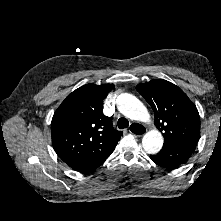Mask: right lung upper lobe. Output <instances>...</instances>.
Returning a JSON list of instances; mask_svg holds the SVG:
<instances>
[{
  "label": "right lung upper lobe",
  "instance_id": "cb5924a9",
  "mask_svg": "<svg viewBox=\"0 0 221 221\" xmlns=\"http://www.w3.org/2000/svg\"><path fill=\"white\" fill-rule=\"evenodd\" d=\"M113 84H86L62 102L51 122L52 144L58 156L70 167L108 158L121 131L103 114V99Z\"/></svg>",
  "mask_w": 221,
  "mask_h": 221
}]
</instances>
